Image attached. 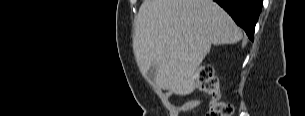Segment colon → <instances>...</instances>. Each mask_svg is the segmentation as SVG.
<instances>
[{
	"label": "colon",
	"mask_w": 305,
	"mask_h": 116,
	"mask_svg": "<svg viewBox=\"0 0 305 116\" xmlns=\"http://www.w3.org/2000/svg\"><path fill=\"white\" fill-rule=\"evenodd\" d=\"M196 79L201 89L212 96L206 116H231L233 107L220 99L219 83L213 75L212 68L208 65L200 66Z\"/></svg>",
	"instance_id": "colon-1"
}]
</instances>
